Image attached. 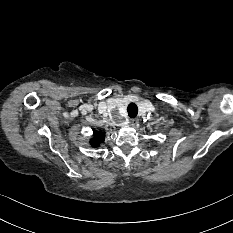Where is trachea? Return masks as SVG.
<instances>
[{
	"instance_id": "obj_1",
	"label": "trachea",
	"mask_w": 233,
	"mask_h": 233,
	"mask_svg": "<svg viewBox=\"0 0 233 233\" xmlns=\"http://www.w3.org/2000/svg\"><path fill=\"white\" fill-rule=\"evenodd\" d=\"M128 115L130 118H134L138 114V107L135 103H130L127 108Z\"/></svg>"
}]
</instances>
